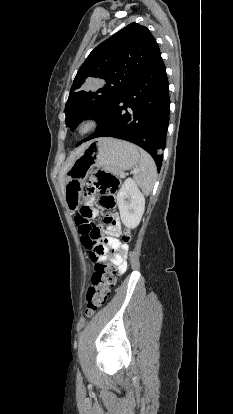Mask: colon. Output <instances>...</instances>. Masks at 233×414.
Returning <instances> with one entry per match:
<instances>
[{
	"mask_svg": "<svg viewBox=\"0 0 233 414\" xmlns=\"http://www.w3.org/2000/svg\"><path fill=\"white\" fill-rule=\"evenodd\" d=\"M119 179L103 170L96 171L87 187V193L99 192L101 195V206L104 210H110L115 205L114 195L119 189ZM106 215V214H105ZM91 211L83 205L76 216V222L82 235V243L89 249H92L91 259L95 262V271L92 275L91 285L86 292V313L88 316L93 315L107 301L111 288L115 284V269L109 262L98 260L99 255L113 256L115 250L109 245L108 241L101 243L99 241L100 230L93 226L89 219ZM131 233L126 230L121 238L124 248L131 241Z\"/></svg>",
	"mask_w": 233,
	"mask_h": 414,
	"instance_id": "obj_1",
	"label": "colon"
}]
</instances>
